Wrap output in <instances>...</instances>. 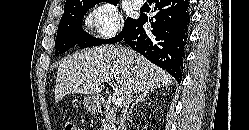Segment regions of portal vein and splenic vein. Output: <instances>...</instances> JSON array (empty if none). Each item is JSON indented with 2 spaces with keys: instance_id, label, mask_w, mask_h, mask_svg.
<instances>
[{
  "instance_id": "obj_1",
  "label": "portal vein and splenic vein",
  "mask_w": 249,
  "mask_h": 130,
  "mask_svg": "<svg viewBox=\"0 0 249 130\" xmlns=\"http://www.w3.org/2000/svg\"><path fill=\"white\" fill-rule=\"evenodd\" d=\"M109 82H110V80H109ZM122 101H123V98L121 96V92H119V91L114 92L113 96H112V103L114 105H120V104H122Z\"/></svg>"
}]
</instances>
